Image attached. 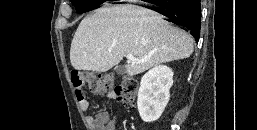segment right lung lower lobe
<instances>
[{
    "mask_svg": "<svg viewBox=\"0 0 257 130\" xmlns=\"http://www.w3.org/2000/svg\"><path fill=\"white\" fill-rule=\"evenodd\" d=\"M156 5L162 8L161 14L167 17V21L187 28L195 40H199L200 0H168Z\"/></svg>",
    "mask_w": 257,
    "mask_h": 130,
    "instance_id": "right-lung-lower-lobe-1",
    "label": "right lung lower lobe"
}]
</instances>
